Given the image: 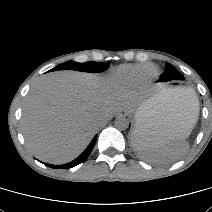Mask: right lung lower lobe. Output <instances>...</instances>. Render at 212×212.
I'll return each instance as SVG.
<instances>
[{
    "mask_svg": "<svg viewBox=\"0 0 212 212\" xmlns=\"http://www.w3.org/2000/svg\"><path fill=\"white\" fill-rule=\"evenodd\" d=\"M97 135L93 138L87 149L75 160L71 161L70 163L64 164V165H51V164H46V166L52 167V168H61V169H69L72 168L82 162H84L88 156L90 155L95 143H96Z\"/></svg>",
    "mask_w": 212,
    "mask_h": 212,
    "instance_id": "98d812e1",
    "label": "right lung lower lobe"
}]
</instances>
